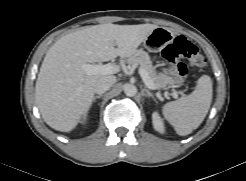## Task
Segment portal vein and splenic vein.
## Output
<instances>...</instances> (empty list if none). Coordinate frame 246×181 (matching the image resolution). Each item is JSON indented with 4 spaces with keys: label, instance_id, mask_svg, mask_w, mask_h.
Returning <instances> with one entry per match:
<instances>
[{
    "label": "portal vein and splenic vein",
    "instance_id": "18ae733b",
    "mask_svg": "<svg viewBox=\"0 0 246 181\" xmlns=\"http://www.w3.org/2000/svg\"><path fill=\"white\" fill-rule=\"evenodd\" d=\"M81 68L88 75H109L117 73V69L112 64L97 65V64H82ZM139 74L145 83V85L150 89H157L153 81L150 79L148 73L142 68L139 69ZM178 93L183 94V92L173 91L172 96L174 98L178 97Z\"/></svg>",
    "mask_w": 246,
    "mask_h": 181
}]
</instances>
